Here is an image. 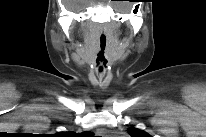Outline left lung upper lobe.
Wrapping results in <instances>:
<instances>
[{
    "mask_svg": "<svg viewBox=\"0 0 206 137\" xmlns=\"http://www.w3.org/2000/svg\"><path fill=\"white\" fill-rule=\"evenodd\" d=\"M128 133L132 137H150V135L147 134L146 132L139 130V129H136V128H129Z\"/></svg>",
    "mask_w": 206,
    "mask_h": 137,
    "instance_id": "obj_1",
    "label": "left lung upper lobe"
}]
</instances>
